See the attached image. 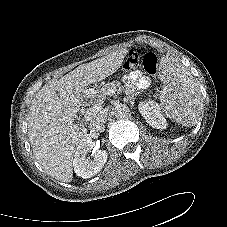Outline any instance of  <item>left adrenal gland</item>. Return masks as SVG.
Returning <instances> with one entry per match:
<instances>
[{
	"label": "left adrenal gland",
	"instance_id": "1",
	"mask_svg": "<svg viewBox=\"0 0 227 227\" xmlns=\"http://www.w3.org/2000/svg\"><path fill=\"white\" fill-rule=\"evenodd\" d=\"M136 95V94H135ZM134 99V95H132V96H127L126 98H124V101H126V102H128L129 100L131 101V100H133ZM131 104H133L132 102H131Z\"/></svg>",
	"mask_w": 227,
	"mask_h": 227
}]
</instances>
